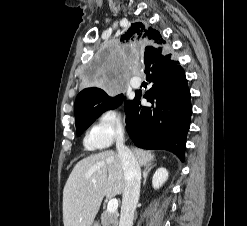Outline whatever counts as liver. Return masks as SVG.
I'll use <instances>...</instances> for the list:
<instances>
[{"mask_svg": "<svg viewBox=\"0 0 247 226\" xmlns=\"http://www.w3.org/2000/svg\"><path fill=\"white\" fill-rule=\"evenodd\" d=\"M132 153L140 166H148L154 160L149 151L134 148ZM124 188V171L116 152L104 151L82 159L63 190L64 226H92L103 198L120 195Z\"/></svg>", "mask_w": 247, "mask_h": 226, "instance_id": "6515ba94", "label": "liver"}]
</instances>
